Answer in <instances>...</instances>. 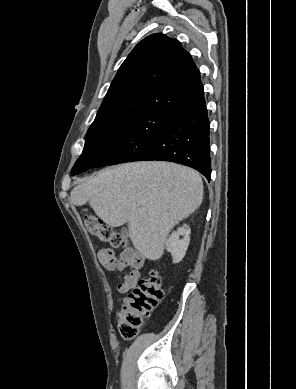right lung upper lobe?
I'll list each match as a JSON object with an SVG mask.
<instances>
[{
	"label": "right lung upper lobe",
	"mask_w": 296,
	"mask_h": 389,
	"mask_svg": "<svg viewBox=\"0 0 296 389\" xmlns=\"http://www.w3.org/2000/svg\"><path fill=\"white\" fill-rule=\"evenodd\" d=\"M204 103L191 55L178 40L156 33L139 42L123 62L96 118L137 113L175 118Z\"/></svg>",
	"instance_id": "1"
}]
</instances>
